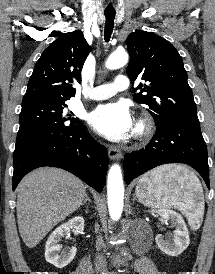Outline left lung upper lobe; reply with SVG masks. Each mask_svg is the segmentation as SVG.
<instances>
[{
    "instance_id": "5c2ea615",
    "label": "left lung upper lobe",
    "mask_w": 215,
    "mask_h": 274,
    "mask_svg": "<svg viewBox=\"0 0 215 274\" xmlns=\"http://www.w3.org/2000/svg\"><path fill=\"white\" fill-rule=\"evenodd\" d=\"M130 54L127 74L132 83L142 78L134 100L149 106L156 126L181 122L199 126L196 104L178 51L153 32L135 31L126 40ZM144 93V94H142Z\"/></svg>"
}]
</instances>
